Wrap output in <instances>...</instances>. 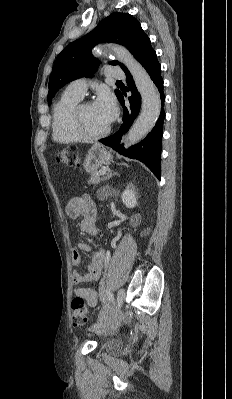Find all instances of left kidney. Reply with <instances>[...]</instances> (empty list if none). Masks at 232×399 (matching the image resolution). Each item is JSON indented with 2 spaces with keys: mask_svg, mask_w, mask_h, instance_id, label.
<instances>
[{
  "mask_svg": "<svg viewBox=\"0 0 232 399\" xmlns=\"http://www.w3.org/2000/svg\"><path fill=\"white\" fill-rule=\"evenodd\" d=\"M122 201L125 203L126 207H135L136 200V192H134V188L132 186H128L126 190H124L122 194Z\"/></svg>",
  "mask_w": 232,
  "mask_h": 399,
  "instance_id": "left-kidney-1",
  "label": "left kidney"
}]
</instances>
